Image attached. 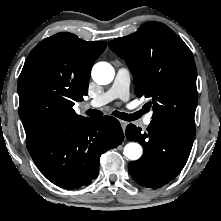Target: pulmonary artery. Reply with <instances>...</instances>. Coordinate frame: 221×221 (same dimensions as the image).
Wrapping results in <instances>:
<instances>
[{
  "instance_id": "1",
  "label": "pulmonary artery",
  "mask_w": 221,
  "mask_h": 221,
  "mask_svg": "<svg viewBox=\"0 0 221 221\" xmlns=\"http://www.w3.org/2000/svg\"><path fill=\"white\" fill-rule=\"evenodd\" d=\"M129 85L130 73L128 69L120 68L116 74L112 86L106 92L94 98L89 105L93 108H97L115 99L126 101L129 98ZM151 122L152 114L146 115L143 123L148 126L151 124Z\"/></svg>"
}]
</instances>
